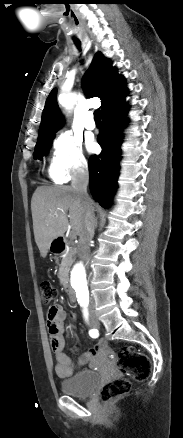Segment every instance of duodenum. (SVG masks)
<instances>
[{
  "label": "duodenum",
  "instance_id": "1",
  "mask_svg": "<svg viewBox=\"0 0 183 438\" xmlns=\"http://www.w3.org/2000/svg\"><path fill=\"white\" fill-rule=\"evenodd\" d=\"M56 248H57L58 252H62L65 249V240H64V238H59L56 241ZM65 291H66V294H67V297H68L69 301L75 302L76 301L75 292H74V290L71 288V286L68 283L65 284Z\"/></svg>",
  "mask_w": 183,
  "mask_h": 438
}]
</instances>
